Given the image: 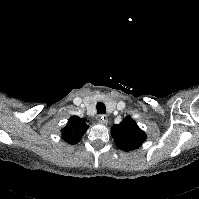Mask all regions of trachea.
Returning <instances> with one entry per match:
<instances>
[{"label": "trachea", "instance_id": "trachea-1", "mask_svg": "<svg viewBox=\"0 0 199 199\" xmlns=\"http://www.w3.org/2000/svg\"><path fill=\"white\" fill-rule=\"evenodd\" d=\"M97 113L98 114H105L106 112V106L102 102H98L96 105Z\"/></svg>", "mask_w": 199, "mask_h": 199}]
</instances>
